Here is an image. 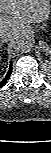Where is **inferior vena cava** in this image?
<instances>
[{
  "mask_svg": "<svg viewBox=\"0 0 51 153\" xmlns=\"http://www.w3.org/2000/svg\"><path fill=\"white\" fill-rule=\"evenodd\" d=\"M12 37H13L12 34H10V33H4L2 31L1 34H0V41H1V43L8 42L9 40L12 39Z\"/></svg>",
  "mask_w": 51,
  "mask_h": 153,
  "instance_id": "obj_1",
  "label": "inferior vena cava"
}]
</instances>
